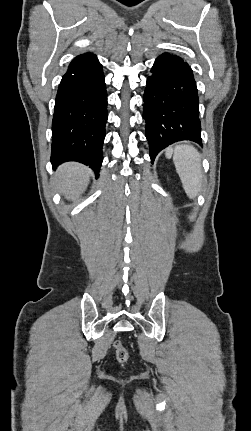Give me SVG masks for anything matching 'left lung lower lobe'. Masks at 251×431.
Instances as JSON below:
<instances>
[{"mask_svg": "<svg viewBox=\"0 0 251 431\" xmlns=\"http://www.w3.org/2000/svg\"><path fill=\"white\" fill-rule=\"evenodd\" d=\"M151 73L143 97V117L153 163L156 155L174 142L202 143L198 93L190 66L182 58L164 53Z\"/></svg>", "mask_w": 251, "mask_h": 431, "instance_id": "left-lung-lower-lobe-1", "label": "left lung lower lobe"}]
</instances>
